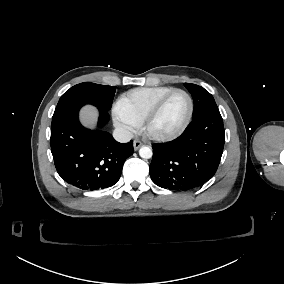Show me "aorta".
I'll return each instance as SVG.
<instances>
[{
  "label": "aorta",
  "instance_id": "aorta-1",
  "mask_svg": "<svg viewBox=\"0 0 284 284\" xmlns=\"http://www.w3.org/2000/svg\"><path fill=\"white\" fill-rule=\"evenodd\" d=\"M139 155L143 159H150L153 155L152 149L147 146H143L139 150Z\"/></svg>",
  "mask_w": 284,
  "mask_h": 284
}]
</instances>
